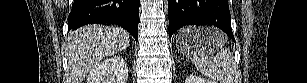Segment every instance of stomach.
Here are the masks:
<instances>
[{
    "mask_svg": "<svg viewBox=\"0 0 307 83\" xmlns=\"http://www.w3.org/2000/svg\"><path fill=\"white\" fill-rule=\"evenodd\" d=\"M176 44L180 51L185 54L193 53L197 48H200V46L203 47L207 53H211L223 45L214 39H207L202 34L201 28L194 26L180 30L176 36Z\"/></svg>",
    "mask_w": 307,
    "mask_h": 83,
    "instance_id": "stomach-1",
    "label": "stomach"
}]
</instances>
